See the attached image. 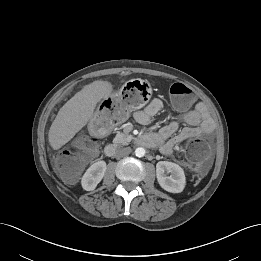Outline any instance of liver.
I'll return each mask as SVG.
<instances>
[{
    "instance_id": "liver-1",
    "label": "liver",
    "mask_w": 261,
    "mask_h": 261,
    "mask_svg": "<svg viewBox=\"0 0 261 261\" xmlns=\"http://www.w3.org/2000/svg\"><path fill=\"white\" fill-rule=\"evenodd\" d=\"M112 84L97 80L85 85L63 107L53 121L48 139L54 150L60 149L79 132L93 116L98 102L112 93Z\"/></svg>"
}]
</instances>
